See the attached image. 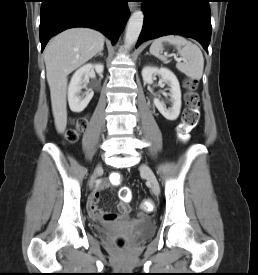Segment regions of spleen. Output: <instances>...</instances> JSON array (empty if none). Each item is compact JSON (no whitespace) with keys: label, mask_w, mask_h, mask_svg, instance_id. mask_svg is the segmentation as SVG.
<instances>
[{"label":"spleen","mask_w":258,"mask_h":275,"mask_svg":"<svg viewBox=\"0 0 258 275\" xmlns=\"http://www.w3.org/2000/svg\"><path fill=\"white\" fill-rule=\"evenodd\" d=\"M163 43L175 46L178 54L184 58L185 62H178L176 65L179 71L191 79H201L204 69V57L197 45L179 35H168L155 39L150 47V53L165 63L168 62V59L162 55Z\"/></svg>","instance_id":"3e777b00"}]
</instances>
